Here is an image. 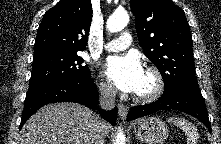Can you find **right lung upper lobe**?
<instances>
[{"label":"right lung upper lobe","instance_id":"right-lung-upper-lobe-1","mask_svg":"<svg viewBox=\"0 0 221 144\" xmlns=\"http://www.w3.org/2000/svg\"><path fill=\"white\" fill-rule=\"evenodd\" d=\"M91 19L90 0H61L44 14L37 32L34 53L84 50Z\"/></svg>","mask_w":221,"mask_h":144}]
</instances>
